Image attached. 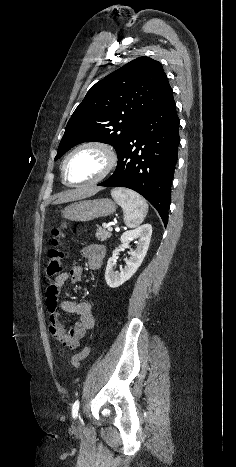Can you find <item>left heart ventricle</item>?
<instances>
[{
  "mask_svg": "<svg viewBox=\"0 0 236 467\" xmlns=\"http://www.w3.org/2000/svg\"><path fill=\"white\" fill-rule=\"evenodd\" d=\"M106 159L97 149L78 151L67 164V178L70 182L81 183L96 178L104 169Z\"/></svg>",
  "mask_w": 236,
  "mask_h": 467,
  "instance_id": "obj_1",
  "label": "left heart ventricle"
}]
</instances>
